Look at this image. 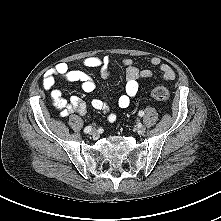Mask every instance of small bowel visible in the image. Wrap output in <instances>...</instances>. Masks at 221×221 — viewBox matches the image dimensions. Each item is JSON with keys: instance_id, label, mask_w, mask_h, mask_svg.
I'll return each mask as SVG.
<instances>
[{"instance_id": "obj_1", "label": "small bowel", "mask_w": 221, "mask_h": 221, "mask_svg": "<svg viewBox=\"0 0 221 221\" xmlns=\"http://www.w3.org/2000/svg\"><path fill=\"white\" fill-rule=\"evenodd\" d=\"M150 63L153 66H159L164 81L175 79L176 74L173 68L168 64L162 63L160 58L153 57ZM82 64L85 67L100 68L104 79L111 75V60L109 56L88 57L82 61ZM123 64L126 67V85L125 93L118 98V106L125 109L129 106L131 99L138 93L139 79L151 78L153 73L147 69H140L132 58H124ZM56 77L67 82L80 83L83 91L87 93L95 90L96 84L94 80L83 71L71 69L67 63L58 64L55 68L48 70L44 75L43 87L46 91L50 92L51 102L59 109L60 116L67 117L70 114L85 115L87 111L85 102L78 96L71 97L69 101L63 98L62 92L58 88H55ZM91 104L96 110L107 111V106L101 99L94 98ZM107 119L109 122H114L116 114L109 113Z\"/></svg>"}]
</instances>
